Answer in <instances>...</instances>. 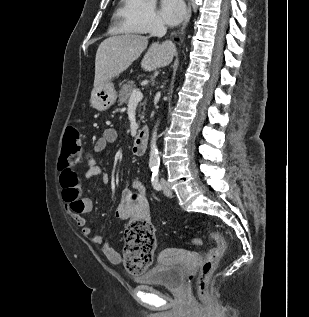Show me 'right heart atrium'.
Wrapping results in <instances>:
<instances>
[{
	"label": "right heart atrium",
	"instance_id": "d8ad5b80",
	"mask_svg": "<svg viewBox=\"0 0 309 317\" xmlns=\"http://www.w3.org/2000/svg\"><path fill=\"white\" fill-rule=\"evenodd\" d=\"M119 16L123 27L133 33L148 34L164 27L155 0H123Z\"/></svg>",
	"mask_w": 309,
	"mask_h": 317
}]
</instances>
